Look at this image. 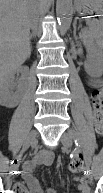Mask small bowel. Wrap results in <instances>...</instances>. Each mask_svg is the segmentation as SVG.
Masks as SVG:
<instances>
[{"label":"small bowel","instance_id":"c3829d8e","mask_svg":"<svg viewBox=\"0 0 103 193\" xmlns=\"http://www.w3.org/2000/svg\"><path fill=\"white\" fill-rule=\"evenodd\" d=\"M53 159H54L53 153L51 151L46 150L41 151L33 160L27 161L23 164L22 178L26 182L30 193H43L42 187L38 182L37 178L35 177V175L33 174V171L39 165H50L53 162ZM76 180L79 181L77 187L78 192L89 193V186L86 176L78 177L76 178ZM19 186L23 185L20 183H15L13 186V191L11 193H16L15 189ZM47 193H58V192L54 189H49L47 190Z\"/></svg>","mask_w":103,"mask_h":193}]
</instances>
